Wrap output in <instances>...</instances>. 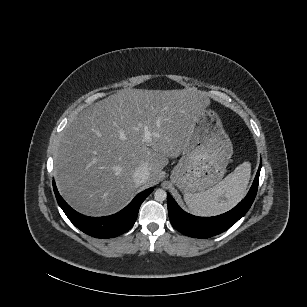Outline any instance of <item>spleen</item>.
<instances>
[{"label":"spleen","mask_w":307,"mask_h":307,"mask_svg":"<svg viewBox=\"0 0 307 307\" xmlns=\"http://www.w3.org/2000/svg\"><path fill=\"white\" fill-rule=\"evenodd\" d=\"M251 174V163L245 161L214 187L204 192L185 193L183 199L195 216L213 217L224 214L245 198Z\"/></svg>","instance_id":"spleen-1"}]
</instances>
